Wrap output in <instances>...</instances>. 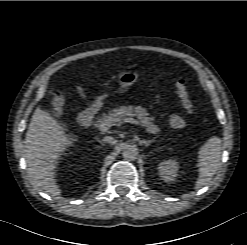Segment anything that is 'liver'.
<instances>
[{"mask_svg": "<svg viewBox=\"0 0 247 245\" xmlns=\"http://www.w3.org/2000/svg\"><path fill=\"white\" fill-rule=\"evenodd\" d=\"M66 128L46 111L36 108L25 138V159L32 184L59 197L55 171L61 154L75 144Z\"/></svg>", "mask_w": 247, "mask_h": 245, "instance_id": "liver-1", "label": "liver"}]
</instances>
